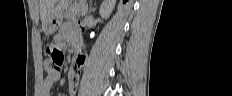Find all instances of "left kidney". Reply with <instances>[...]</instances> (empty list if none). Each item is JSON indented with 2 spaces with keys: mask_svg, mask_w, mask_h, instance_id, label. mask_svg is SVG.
<instances>
[{
  "mask_svg": "<svg viewBox=\"0 0 232 96\" xmlns=\"http://www.w3.org/2000/svg\"><path fill=\"white\" fill-rule=\"evenodd\" d=\"M115 4H116V0H104L99 10L101 17L108 18L112 13Z\"/></svg>",
  "mask_w": 232,
  "mask_h": 96,
  "instance_id": "5707ae66",
  "label": "left kidney"
}]
</instances>
